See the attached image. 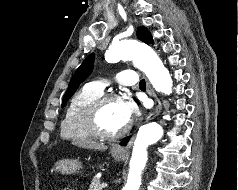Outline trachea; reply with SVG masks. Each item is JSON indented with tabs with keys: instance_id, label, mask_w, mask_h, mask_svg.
<instances>
[{
	"instance_id": "3493384b",
	"label": "trachea",
	"mask_w": 238,
	"mask_h": 190,
	"mask_svg": "<svg viewBox=\"0 0 238 190\" xmlns=\"http://www.w3.org/2000/svg\"><path fill=\"white\" fill-rule=\"evenodd\" d=\"M139 87H140V88H145V87H146V83H145V80H144V79H142V80L140 81Z\"/></svg>"
}]
</instances>
